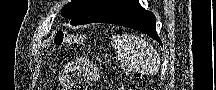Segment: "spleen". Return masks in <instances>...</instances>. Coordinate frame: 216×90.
I'll return each instance as SVG.
<instances>
[{
  "mask_svg": "<svg viewBox=\"0 0 216 90\" xmlns=\"http://www.w3.org/2000/svg\"><path fill=\"white\" fill-rule=\"evenodd\" d=\"M114 48L120 62H124L128 72L149 74L154 62L158 60L153 46L138 36H117Z\"/></svg>",
  "mask_w": 216,
  "mask_h": 90,
  "instance_id": "3e777b00",
  "label": "spleen"
}]
</instances>
